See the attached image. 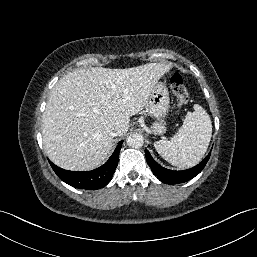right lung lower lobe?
<instances>
[{
    "instance_id": "right-lung-lower-lobe-1",
    "label": "right lung lower lobe",
    "mask_w": 257,
    "mask_h": 257,
    "mask_svg": "<svg viewBox=\"0 0 257 257\" xmlns=\"http://www.w3.org/2000/svg\"><path fill=\"white\" fill-rule=\"evenodd\" d=\"M122 143L123 141L118 143L115 151L104 165L92 171H68L59 168L51 161L49 163L57 176L65 183L79 189H100L110 182L115 172Z\"/></svg>"
}]
</instances>
